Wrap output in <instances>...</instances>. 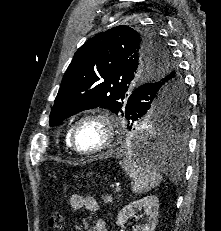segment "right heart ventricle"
Here are the masks:
<instances>
[{
	"label": "right heart ventricle",
	"instance_id": "right-heart-ventricle-1",
	"mask_svg": "<svg viewBox=\"0 0 221 231\" xmlns=\"http://www.w3.org/2000/svg\"><path fill=\"white\" fill-rule=\"evenodd\" d=\"M70 132H71V127L69 126L65 133V144L68 148H70Z\"/></svg>",
	"mask_w": 221,
	"mask_h": 231
}]
</instances>
